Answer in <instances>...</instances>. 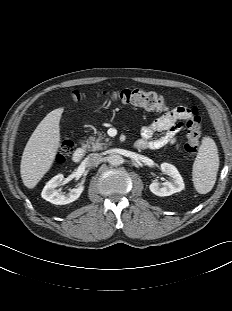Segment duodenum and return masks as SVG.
Listing matches in <instances>:
<instances>
[{
    "instance_id": "duodenum-1",
    "label": "duodenum",
    "mask_w": 232,
    "mask_h": 311,
    "mask_svg": "<svg viewBox=\"0 0 232 311\" xmlns=\"http://www.w3.org/2000/svg\"><path fill=\"white\" fill-rule=\"evenodd\" d=\"M136 148H138V143H136ZM85 155V148L83 146L78 147L72 154V160L75 163H79L82 161L83 157Z\"/></svg>"
}]
</instances>
